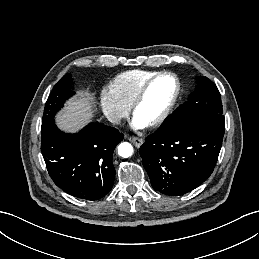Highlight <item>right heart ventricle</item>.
<instances>
[{"label": "right heart ventricle", "mask_w": 259, "mask_h": 259, "mask_svg": "<svg viewBox=\"0 0 259 259\" xmlns=\"http://www.w3.org/2000/svg\"><path fill=\"white\" fill-rule=\"evenodd\" d=\"M157 72L147 70H129L117 75L111 82L112 92L128 107L142 85Z\"/></svg>", "instance_id": "e07e8e85"}]
</instances>
